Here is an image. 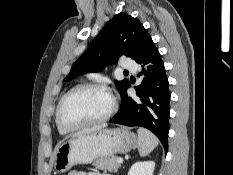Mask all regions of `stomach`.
Segmentation results:
<instances>
[{"label":"stomach","mask_w":233,"mask_h":175,"mask_svg":"<svg viewBox=\"0 0 233 175\" xmlns=\"http://www.w3.org/2000/svg\"><path fill=\"white\" fill-rule=\"evenodd\" d=\"M136 144V135L127 128H103L76 136L56 147L54 169L64 173L76 164H89L98 158L127 153Z\"/></svg>","instance_id":"stomach-1"}]
</instances>
